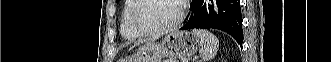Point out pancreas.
<instances>
[{"instance_id":"pancreas-1","label":"pancreas","mask_w":331,"mask_h":62,"mask_svg":"<svg viewBox=\"0 0 331 62\" xmlns=\"http://www.w3.org/2000/svg\"><path fill=\"white\" fill-rule=\"evenodd\" d=\"M164 62H176V60L169 59V60H165Z\"/></svg>"}]
</instances>
